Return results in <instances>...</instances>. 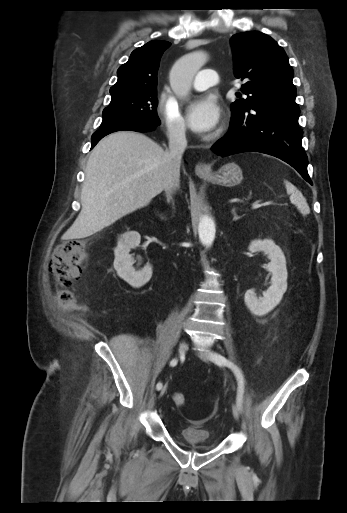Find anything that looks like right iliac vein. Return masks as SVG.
<instances>
[{
  "label": "right iliac vein",
  "mask_w": 347,
  "mask_h": 513,
  "mask_svg": "<svg viewBox=\"0 0 347 513\" xmlns=\"http://www.w3.org/2000/svg\"><path fill=\"white\" fill-rule=\"evenodd\" d=\"M186 349H187V342L186 341H182L180 343V346H179V353H180V355H183L186 352ZM166 390H167V387L164 386L161 389V391H160V396H163L166 393Z\"/></svg>",
  "instance_id": "obj_1"
}]
</instances>
